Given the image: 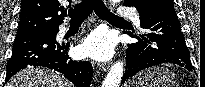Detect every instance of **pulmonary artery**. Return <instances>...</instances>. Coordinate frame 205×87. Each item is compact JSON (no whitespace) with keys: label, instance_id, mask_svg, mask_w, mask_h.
<instances>
[{"label":"pulmonary artery","instance_id":"obj_1","mask_svg":"<svg viewBox=\"0 0 205 87\" xmlns=\"http://www.w3.org/2000/svg\"><path fill=\"white\" fill-rule=\"evenodd\" d=\"M119 14H122V15H127V16H130L133 23L136 25V26H140V19H139V16L135 13H132L130 12L129 10L127 9H121L119 11ZM61 31H65V28H62Z\"/></svg>","mask_w":205,"mask_h":87}]
</instances>
